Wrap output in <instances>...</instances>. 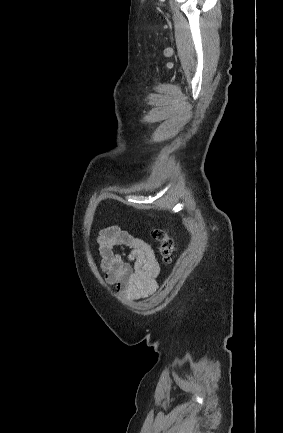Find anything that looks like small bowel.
<instances>
[{"mask_svg":"<svg viewBox=\"0 0 283 433\" xmlns=\"http://www.w3.org/2000/svg\"><path fill=\"white\" fill-rule=\"evenodd\" d=\"M98 245L104 279L125 302L145 298L156 290L160 267L148 243L111 226L100 231Z\"/></svg>","mask_w":283,"mask_h":433,"instance_id":"obj_1","label":"small bowel"}]
</instances>
